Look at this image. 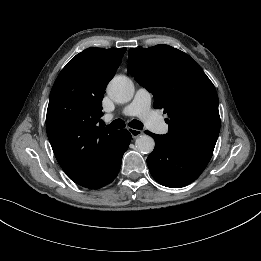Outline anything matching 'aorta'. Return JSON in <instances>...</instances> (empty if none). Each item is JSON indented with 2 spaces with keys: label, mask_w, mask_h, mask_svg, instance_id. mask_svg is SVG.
<instances>
[{
  "label": "aorta",
  "mask_w": 261,
  "mask_h": 261,
  "mask_svg": "<svg viewBox=\"0 0 261 261\" xmlns=\"http://www.w3.org/2000/svg\"><path fill=\"white\" fill-rule=\"evenodd\" d=\"M134 84L130 78L124 75L114 77L107 86L109 97L117 103H127L134 96ZM136 149L144 154L151 153L155 142L149 135H141L135 141Z\"/></svg>",
  "instance_id": "762f6f07"
}]
</instances>
